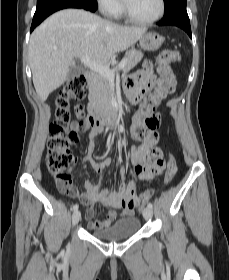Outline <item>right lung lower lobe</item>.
<instances>
[{"label":"right lung lower lobe","mask_w":229,"mask_h":280,"mask_svg":"<svg viewBox=\"0 0 229 280\" xmlns=\"http://www.w3.org/2000/svg\"><path fill=\"white\" fill-rule=\"evenodd\" d=\"M65 8H82L94 12L97 4L96 0H37L30 32L49 15Z\"/></svg>","instance_id":"right-lung-lower-lobe-1"}]
</instances>
